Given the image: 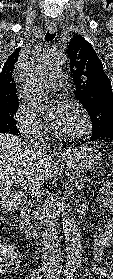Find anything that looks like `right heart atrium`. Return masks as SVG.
<instances>
[{"label":"right heart atrium","mask_w":113,"mask_h":279,"mask_svg":"<svg viewBox=\"0 0 113 279\" xmlns=\"http://www.w3.org/2000/svg\"><path fill=\"white\" fill-rule=\"evenodd\" d=\"M17 127L29 139L40 138L45 134V126L33 109L20 103L14 115Z\"/></svg>","instance_id":"1"}]
</instances>
